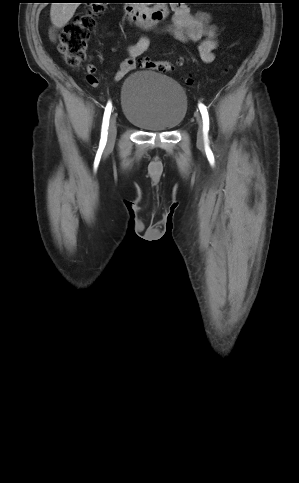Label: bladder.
Returning <instances> with one entry per match:
<instances>
[{
  "instance_id": "bladder-1",
  "label": "bladder",
  "mask_w": 299,
  "mask_h": 483,
  "mask_svg": "<svg viewBox=\"0 0 299 483\" xmlns=\"http://www.w3.org/2000/svg\"><path fill=\"white\" fill-rule=\"evenodd\" d=\"M120 101L125 120L149 132L172 131L183 122L188 108L182 86L149 69L127 76Z\"/></svg>"
}]
</instances>
